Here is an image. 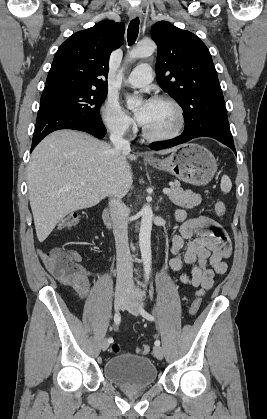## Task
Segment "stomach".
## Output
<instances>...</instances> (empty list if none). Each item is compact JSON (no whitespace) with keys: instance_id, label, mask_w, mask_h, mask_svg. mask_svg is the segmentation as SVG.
I'll return each instance as SVG.
<instances>
[{"instance_id":"stomach-1","label":"stomach","mask_w":267,"mask_h":419,"mask_svg":"<svg viewBox=\"0 0 267 419\" xmlns=\"http://www.w3.org/2000/svg\"><path fill=\"white\" fill-rule=\"evenodd\" d=\"M156 169L171 173L179 180L196 185H206L217 170L213 154L197 143L180 145L166 159L148 160Z\"/></svg>"}]
</instances>
